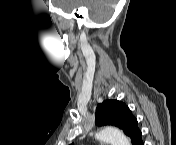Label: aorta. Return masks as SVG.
<instances>
[{
    "instance_id": "obj_1",
    "label": "aorta",
    "mask_w": 176,
    "mask_h": 145,
    "mask_svg": "<svg viewBox=\"0 0 176 145\" xmlns=\"http://www.w3.org/2000/svg\"><path fill=\"white\" fill-rule=\"evenodd\" d=\"M96 139L111 145H130L129 139L118 129L106 127L96 133Z\"/></svg>"
}]
</instances>
